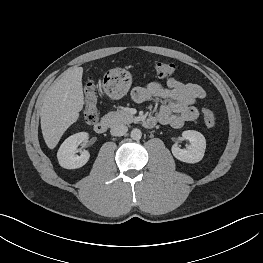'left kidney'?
Listing matches in <instances>:
<instances>
[{
    "instance_id": "left-kidney-1",
    "label": "left kidney",
    "mask_w": 263,
    "mask_h": 263,
    "mask_svg": "<svg viewBox=\"0 0 263 263\" xmlns=\"http://www.w3.org/2000/svg\"><path fill=\"white\" fill-rule=\"evenodd\" d=\"M182 137L189 141V145L181 149L177 144H174L171 149L174 157L186 163H197L201 161L206 149L205 137L195 130L183 131Z\"/></svg>"
}]
</instances>
